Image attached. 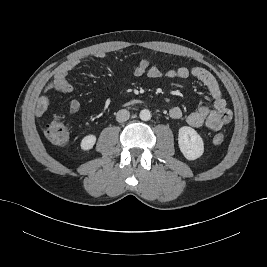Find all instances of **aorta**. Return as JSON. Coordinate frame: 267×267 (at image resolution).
<instances>
[{"label": "aorta", "instance_id": "obj_1", "mask_svg": "<svg viewBox=\"0 0 267 267\" xmlns=\"http://www.w3.org/2000/svg\"><path fill=\"white\" fill-rule=\"evenodd\" d=\"M140 119L143 121H148L151 119V112L148 109H143L140 111Z\"/></svg>", "mask_w": 267, "mask_h": 267}]
</instances>
